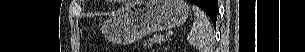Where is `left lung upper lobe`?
Masks as SVG:
<instances>
[{
  "label": "left lung upper lobe",
  "instance_id": "obj_1",
  "mask_svg": "<svg viewBox=\"0 0 305 52\" xmlns=\"http://www.w3.org/2000/svg\"><path fill=\"white\" fill-rule=\"evenodd\" d=\"M208 15L211 18V20H214V21L217 20V13L216 12L214 13V12L211 11Z\"/></svg>",
  "mask_w": 305,
  "mask_h": 52
}]
</instances>
